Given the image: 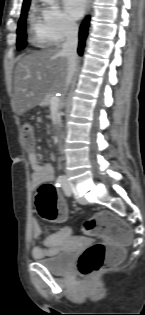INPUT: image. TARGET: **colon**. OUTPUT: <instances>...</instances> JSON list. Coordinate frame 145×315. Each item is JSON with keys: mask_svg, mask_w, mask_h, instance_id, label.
Masks as SVG:
<instances>
[{"mask_svg": "<svg viewBox=\"0 0 145 315\" xmlns=\"http://www.w3.org/2000/svg\"><path fill=\"white\" fill-rule=\"evenodd\" d=\"M22 134L24 146L32 148L34 129L29 122L22 124ZM36 207L40 216L52 223L57 222L66 211L64 202L50 183L41 184L37 189ZM83 230L104 242L88 247L81 254L77 262V271L81 276L88 277L109 270L121 261L122 247L131 239L130 230L122 220L110 212H99L84 223Z\"/></svg>", "mask_w": 145, "mask_h": 315, "instance_id": "5ec220e1", "label": "colon"}]
</instances>
